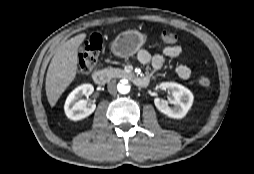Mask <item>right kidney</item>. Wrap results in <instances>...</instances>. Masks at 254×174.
<instances>
[{
  "label": "right kidney",
  "instance_id": "obj_1",
  "mask_svg": "<svg viewBox=\"0 0 254 174\" xmlns=\"http://www.w3.org/2000/svg\"><path fill=\"white\" fill-rule=\"evenodd\" d=\"M94 91L91 84H83L75 88L67 97L64 105L66 116L73 120H81L91 115L96 109L94 103L88 104L86 100H82L83 95H90Z\"/></svg>",
  "mask_w": 254,
  "mask_h": 174
}]
</instances>
